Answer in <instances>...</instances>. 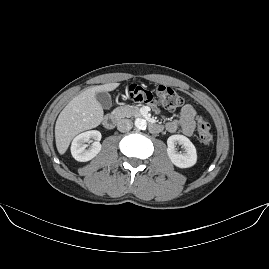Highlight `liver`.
I'll return each mask as SVG.
<instances>
[{
	"label": "liver",
	"instance_id": "liver-1",
	"mask_svg": "<svg viewBox=\"0 0 269 269\" xmlns=\"http://www.w3.org/2000/svg\"><path fill=\"white\" fill-rule=\"evenodd\" d=\"M119 83L93 86L74 97L61 111L55 125V139L58 152L64 154L71 140L80 132L100 125L103 109L96 99V93L116 89Z\"/></svg>",
	"mask_w": 269,
	"mask_h": 269
}]
</instances>
